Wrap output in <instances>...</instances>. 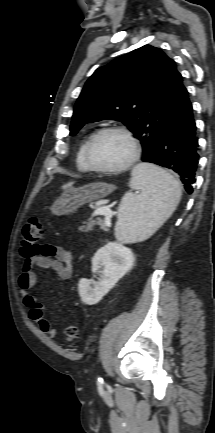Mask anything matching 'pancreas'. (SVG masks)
I'll use <instances>...</instances> for the list:
<instances>
[{"label":"pancreas","mask_w":215,"mask_h":433,"mask_svg":"<svg viewBox=\"0 0 215 433\" xmlns=\"http://www.w3.org/2000/svg\"><path fill=\"white\" fill-rule=\"evenodd\" d=\"M95 225H99L101 229L106 230L107 226L105 225V220L97 219V220H88L84 222L80 227V230L84 233L90 232Z\"/></svg>","instance_id":"obj_1"}]
</instances>
